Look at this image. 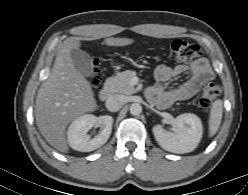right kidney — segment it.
Masks as SVG:
<instances>
[{
    "instance_id": "obj_1",
    "label": "right kidney",
    "mask_w": 248,
    "mask_h": 195,
    "mask_svg": "<svg viewBox=\"0 0 248 195\" xmlns=\"http://www.w3.org/2000/svg\"><path fill=\"white\" fill-rule=\"evenodd\" d=\"M113 118L108 115L96 117L91 114L76 118L67 131L68 142L71 148L81 152H90L104 145L112 131ZM92 127H100V132L90 138L87 132Z\"/></svg>"
}]
</instances>
